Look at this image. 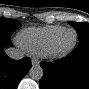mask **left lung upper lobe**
<instances>
[{"label":"left lung upper lobe","instance_id":"1","mask_svg":"<svg viewBox=\"0 0 89 89\" xmlns=\"http://www.w3.org/2000/svg\"><path fill=\"white\" fill-rule=\"evenodd\" d=\"M71 26H73L78 34L80 39H89V24L86 22H68Z\"/></svg>","mask_w":89,"mask_h":89}]
</instances>
